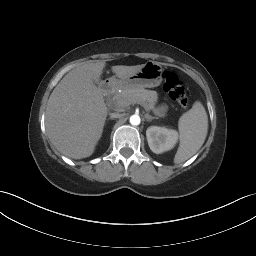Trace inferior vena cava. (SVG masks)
Instances as JSON below:
<instances>
[{"instance_id":"obj_1","label":"inferior vena cava","mask_w":256,"mask_h":256,"mask_svg":"<svg viewBox=\"0 0 256 256\" xmlns=\"http://www.w3.org/2000/svg\"><path fill=\"white\" fill-rule=\"evenodd\" d=\"M120 117H122V114H120L119 112L110 113V118L111 119L120 118Z\"/></svg>"}]
</instances>
